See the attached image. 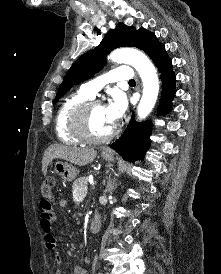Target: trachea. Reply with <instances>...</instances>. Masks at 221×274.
Masks as SVG:
<instances>
[{
    "label": "trachea",
    "instance_id": "3493384b",
    "mask_svg": "<svg viewBox=\"0 0 221 274\" xmlns=\"http://www.w3.org/2000/svg\"><path fill=\"white\" fill-rule=\"evenodd\" d=\"M129 83H130V84H133V83H135V80H134V79H133V80H130Z\"/></svg>",
    "mask_w": 221,
    "mask_h": 274
}]
</instances>
